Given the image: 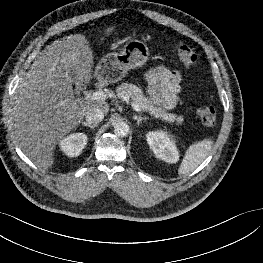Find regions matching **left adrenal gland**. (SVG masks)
Segmentation results:
<instances>
[{"mask_svg":"<svg viewBox=\"0 0 263 263\" xmlns=\"http://www.w3.org/2000/svg\"><path fill=\"white\" fill-rule=\"evenodd\" d=\"M133 119L135 120V121H137V125H139L142 121H146V120H149V117H146V116H136V115H134L133 116Z\"/></svg>","mask_w":263,"mask_h":263,"instance_id":"obj_1","label":"left adrenal gland"}]
</instances>
